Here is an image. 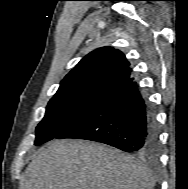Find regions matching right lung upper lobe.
<instances>
[{
	"label": "right lung upper lobe",
	"mask_w": 188,
	"mask_h": 189,
	"mask_svg": "<svg viewBox=\"0 0 188 189\" xmlns=\"http://www.w3.org/2000/svg\"><path fill=\"white\" fill-rule=\"evenodd\" d=\"M125 55L113 47L98 48L85 56L62 80L56 94L88 90L108 93L133 82Z\"/></svg>",
	"instance_id": "cb5924a9"
}]
</instances>
